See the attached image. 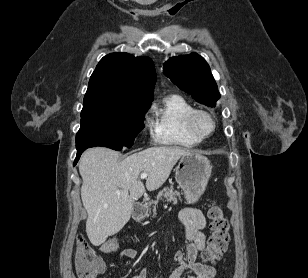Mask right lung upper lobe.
<instances>
[{
	"label": "right lung upper lobe",
	"mask_w": 308,
	"mask_h": 278,
	"mask_svg": "<svg viewBox=\"0 0 308 278\" xmlns=\"http://www.w3.org/2000/svg\"><path fill=\"white\" fill-rule=\"evenodd\" d=\"M155 79L150 58L108 54L91 75L81 116L135 111L151 105Z\"/></svg>",
	"instance_id": "cb5924a9"
}]
</instances>
